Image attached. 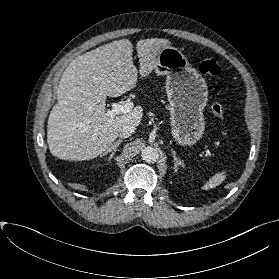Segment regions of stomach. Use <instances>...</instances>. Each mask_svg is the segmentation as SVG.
Wrapping results in <instances>:
<instances>
[{
  "instance_id": "obj_1",
  "label": "stomach",
  "mask_w": 279,
  "mask_h": 279,
  "mask_svg": "<svg viewBox=\"0 0 279 279\" xmlns=\"http://www.w3.org/2000/svg\"><path fill=\"white\" fill-rule=\"evenodd\" d=\"M155 72L166 76L171 133L180 145L196 144L204 133L203 111L208 100L205 79L178 48L166 46L156 57Z\"/></svg>"
}]
</instances>
